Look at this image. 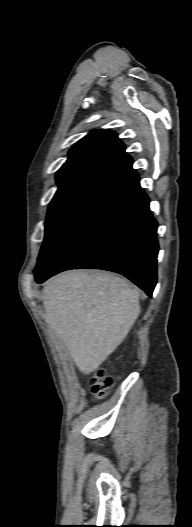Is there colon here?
<instances>
[{
    "label": "colon",
    "instance_id": "5ec220e1",
    "mask_svg": "<svg viewBox=\"0 0 192 527\" xmlns=\"http://www.w3.org/2000/svg\"><path fill=\"white\" fill-rule=\"evenodd\" d=\"M113 385V377L107 375L103 369L97 370L95 375L90 380V387L95 399H102L106 397Z\"/></svg>",
    "mask_w": 192,
    "mask_h": 527
}]
</instances>
